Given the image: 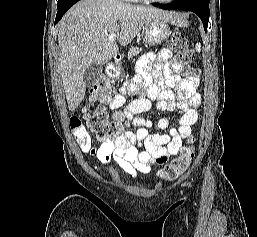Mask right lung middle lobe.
Masks as SVG:
<instances>
[{
  "mask_svg": "<svg viewBox=\"0 0 257 237\" xmlns=\"http://www.w3.org/2000/svg\"><path fill=\"white\" fill-rule=\"evenodd\" d=\"M69 1H71V0H58V2H57V7H58V6H61V5H63V4H65V3H67V2H69Z\"/></svg>",
  "mask_w": 257,
  "mask_h": 237,
  "instance_id": "dd1d6c3e",
  "label": "right lung middle lobe"
}]
</instances>
